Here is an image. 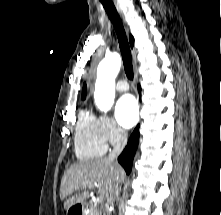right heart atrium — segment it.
<instances>
[{"mask_svg": "<svg viewBox=\"0 0 221 215\" xmlns=\"http://www.w3.org/2000/svg\"><path fill=\"white\" fill-rule=\"evenodd\" d=\"M98 131L105 144L117 145L124 140L123 130L115 123L112 117L100 115L97 117Z\"/></svg>", "mask_w": 221, "mask_h": 215, "instance_id": "1", "label": "right heart atrium"}]
</instances>
